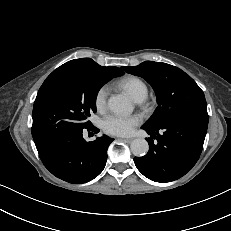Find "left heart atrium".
<instances>
[{
	"mask_svg": "<svg viewBox=\"0 0 231 231\" xmlns=\"http://www.w3.org/2000/svg\"><path fill=\"white\" fill-rule=\"evenodd\" d=\"M139 123L140 118L137 116L111 114L104 118L102 126L109 134L125 136L131 134Z\"/></svg>",
	"mask_w": 231,
	"mask_h": 231,
	"instance_id": "left-heart-atrium-1",
	"label": "left heart atrium"
}]
</instances>
